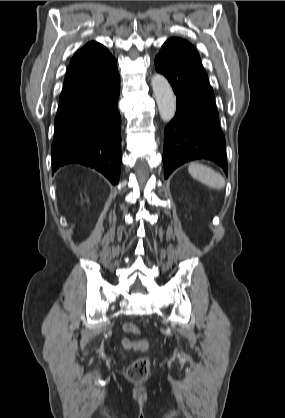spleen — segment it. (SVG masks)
Listing matches in <instances>:
<instances>
[{"label":"spleen","mask_w":285,"mask_h":418,"mask_svg":"<svg viewBox=\"0 0 285 418\" xmlns=\"http://www.w3.org/2000/svg\"><path fill=\"white\" fill-rule=\"evenodd\" d=\"M188 171L193 178L213 189H223L225 187V179L208 166L191 163L188 166Z\"/></svg>","instance_id":"obj_1"}]
</instances>
